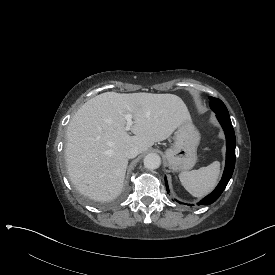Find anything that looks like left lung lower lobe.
<instances>
[{
	"label": "left lung lower lobe",
	"mask_w": 275,
	"mask_h": 275,
	"mask_svg": "<svg viewBox=\"0 0 275 275\" xmlns=\"http://www.w3.org/2000/svg\"><path fill=\"white\" fill-rule=\"evenodd\" d=\"M217 119L219 120L220 124L222 125L225 136H226V164H225V170L222 176V179L218 186L215 188V190L206 196L204 199H202L198 205H210L213 202H215L219 196L222 194L224 189L226 188L234 170L235 166V147H236V140H235V133L234 129L231 124L230 116L216 113ZM165 184L167 192L169 193L168 183L167 179L165 177ZM178 202V201H177ZM180 203V202H179ZM182 204V203H180ZM192 206V205H190Z\"/></svg>",
	"instance_id": "0a47b994"
}]
</instances>
